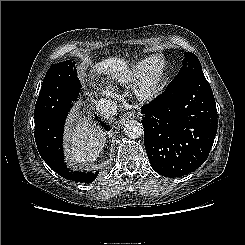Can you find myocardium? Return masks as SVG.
<instances>
[{
	"label": "myocardium",
	"instance_id": "1",
	"mask_svg": "<svg viewBox=\"0 0 245 245\" xmlns=\"http://www.w3.org/2000/svg\"><path fill=\"white\" fill-rule=\"evenodd\" d=\"M168 64L162 56L149 58L146 67L137 80L134 93L141 102L154 100L161 92L167 76Z\"/></svg>",
	"mask_w": 245,
	"mask_h": 245
}]
</instances>
